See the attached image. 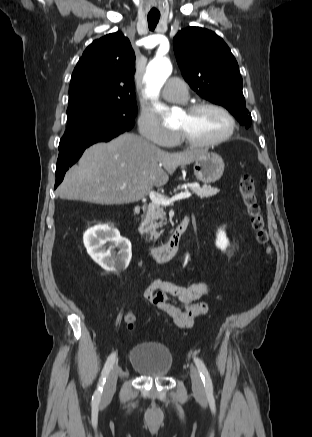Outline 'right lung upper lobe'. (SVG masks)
Instances as JSON below:
<instances>
[{
  "mask_svg": "<svg viewBox=\"0 0 312 437\" xmlns=\"http://www.w3.org/2000/svg\"><path fill=\"white\" fill-rule=\"evenodd\" d=\"M134 65L133 49L122 33L93 41L72 73L68 107L86 102H135Z\"/></svg>",
  "mask_w": 312,
  "mask_h": 437,
  "instance_id": "1",
  "label": "right lung upper lobe"
}]
</instances>
